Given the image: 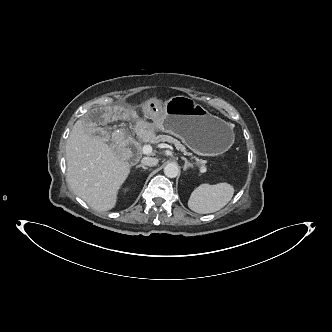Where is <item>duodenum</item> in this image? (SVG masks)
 <instances>
[{
	"instance_id": "obj_1",
	"label": "duodenum",
	"mask_w": 332,
	"mask_h": 332,
	"mask_svg": "<svg viewBox=\"0 0 332 332\" xmlns=\"http://www.w3.org/2000/svg\"><path fill=\"white\" fill-rule=\"evenodd\" d=\"M129 156H130L131 158H134V157L136 156V152H135L134 150H131V151L129 152Z\"/></svg>"
}]
</instances>
